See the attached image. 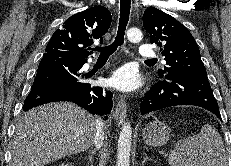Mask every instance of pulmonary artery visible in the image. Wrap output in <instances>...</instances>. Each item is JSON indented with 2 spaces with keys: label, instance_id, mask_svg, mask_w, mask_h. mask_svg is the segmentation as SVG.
<instances>
[{
  "label": "pulmonary artery",
  "instance_id": "obj_1",
  "mask_svg": "<svg viewBox=\"0 0 231 166\" xmlns=\"http://www.w3.org/2000/svg\"><path fill=\"white\" fill-rule=\"evenodd\" d=\"M138 53L143 58H153L156 56L155 49L148 44H142L139 48Z\"/></svg>",
  "mask_w": 231,
  "mask_h": 166
}]
</instances>
